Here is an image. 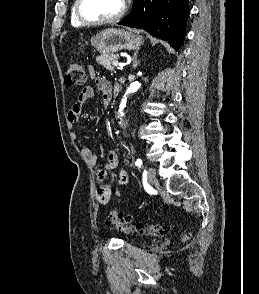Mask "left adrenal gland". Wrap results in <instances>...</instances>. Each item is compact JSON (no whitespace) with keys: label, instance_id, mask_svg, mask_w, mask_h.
Here are the masks:
<instances>
[{"label":"left adrenal gland","instance_id":"left-adrenal-gland-1","mask_svg":"<svg viewBox=\"0 0 259 294\" xmlns=\"http://www.w3.org/2000/svg\"><path fill=\"white\" fill-rule=\"evenodd\" d=\"M137 54L138 52H135L132 58L133 68L136 69L139 65V61L137 60Z\"/></svg>","mask_w":259,"mask_h":294}]
</instances>
